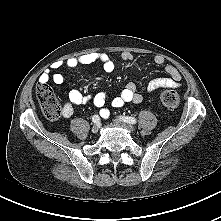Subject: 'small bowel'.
<instances>
[{"label": "small bowel", "mask_w": 221, "mask_h": 221, "mask_svg": "<svg viewBox=\"0 0 221 221\" xmlns=\"http://www.w3.org/2000/svg\"><path fill=\"white\" fill-rule=\"evenodd\" d=\"M121 58L124 61H133L134 55L129 51H124L121 53ZM96 62L102 64L103 70L106 73H110L114 70V62L111 56L107 52L103 51L81 54L79 56L71 57L65 62H55L53 64V69L57 70L62 67L74 69L80 65H89ZM154 62L157 65H163L165 59L163 56L157 55L154 58ZM165 71L167 72L168 77L152 80L148 84V92H154L159 88H177L180 85L182 77L176 67L168 64L165 67ZM49 81H52L56 85H61L65 81V76L60 72H56L52 75L50 72H43L39 76V83H48ZM108 100L109 98L105 93H97L93 96H86L79 90L72 89L69 91L68 101L63 106L62 114L65 118H69L75 113V107L92 102L94 106L100 109V116L107 119L110 116V111L106 107ZM141 101L142 96L137 92L136 85L133 82H130L117 96L110 99V104L113 108H121L127 103H140Z\"/></svg>", "instance_id": "obj_1"}]
</instances>
